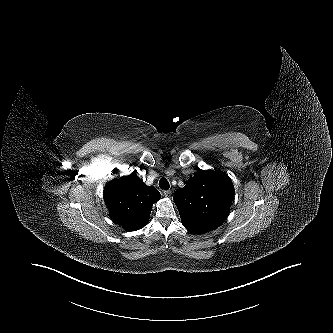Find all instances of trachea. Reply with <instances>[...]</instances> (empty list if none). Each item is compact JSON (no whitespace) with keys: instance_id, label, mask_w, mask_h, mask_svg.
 <instances>
[{"instance_id":"obj_1","label":"trachea","mask_w":333,"mask_h":333,"mask_svg":"<svg viewBox=\"0 0 333 333\" xmlns=\"http://www.w3.org/2000/svg\"><path fill=\"white\" fill-rule=\"evenodd\" d=\"M159 186L161 189L163 190H168L170 188V185H169V182L167 181L166 178H162L160 181H159Z\"/></svg>"}]
</instances>
